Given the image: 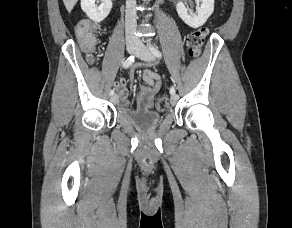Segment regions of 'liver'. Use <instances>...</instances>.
Here are the masks:
<instances>
[{
  "mask_svg": "<svg viewBox=\"0 0 292 228\" xmlns=\"http://www.w3.org/2000/svg\"><path fill=\"white\" fill-rule=\"evenodd\" d=\"M78 0H63V3L68 12H71Z\"/></svg>",
  "mask_w": 292,
  "mask_h": 228,
  "instance_id": "6515ba94",
  "label": "liver"
}]
</instances>
